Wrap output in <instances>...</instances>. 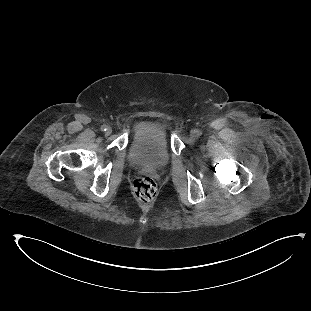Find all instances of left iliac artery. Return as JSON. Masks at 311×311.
<instances>
[{"label":"left iliac artery","instance_id":"left-iliac-artery-1","mask_svg":"<svg viewBox=\"0 0 311 311\" xmlns=\"http://www.w3.org/2000/svg\"><path fill=\"white\" fill-rule=\"evenodd\" d=\"M196 132H197V135H198V136H200V135L202 134V132L199 131V130H197Z\"/></svg>","mask_w":311,"mask_h":311}]
</instances>
